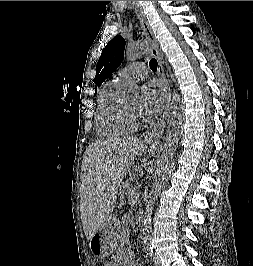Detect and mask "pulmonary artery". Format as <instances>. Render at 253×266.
<instances>
[{
  "mask_svg": "<svg viewBox=\"0 0 253 266\" xmlns=\"http://www.w3.org/2000/svg\"><path fill=\"white\" fill-rule=\"evenodd\" d=\"M147 74V66L142 62H136L119 70L116 79L124 85H129L135 81L146 78Z\"/></svg>",
  "mask_w": 253,
  "mask_h": 266,
  "instance_id": "pulmonary-artery-1",
  "label": "pulmonary artery"
}]
</instances>
